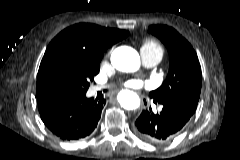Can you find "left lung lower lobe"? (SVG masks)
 <instances>
[{
    "instance_id": "0a47b994",
    "label": "left lung lower lobe",
    "mask_w": 240,
    "mask_h": 160,
    "mask_svg": "<svg viewBox=\"0 0 240 160\" xmlns=\"http://www.w3.org/2000/svg\"><path fill=\"white\" fill-rule=\"evenodd\" d=\"M160 113L145 110L135 122L137 134L145 141L163 143L173 138L190 120L195 110L176 102H159Z\"/></svg>"
}]
</instances>
